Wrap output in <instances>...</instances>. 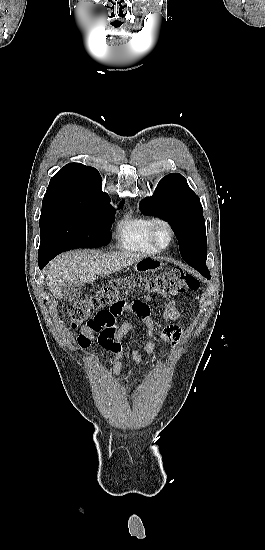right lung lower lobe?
Here are the masks:
<instances>
[{"label":"right lung lower lobe","instance_id":"obj_1","mask_svg":"<svg viewBox=\"0 0 265 550\" xmlns=\"http://www.w3.org/2000/svg\"><path fill=\"white\" fill-rule=\"evenodd\" d=\"M49 261H50L49 258L39 256V262H38L39 268L42 269Z\"/></svg>","mask_w":265,"mask_h":550}]
</instances>
